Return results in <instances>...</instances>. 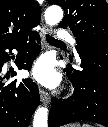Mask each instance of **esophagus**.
<instances>
[{
	"mask_svg": "<svg viewBox=\"0 0 108 127\" xmlns=\"http://www.w3.org/2000/svg\"><path fill=\"white\" fill-rule=\"evenodd\" d=\"M49 32H50L49 27H48L46 24L43 23L42 29H41V31H40V36H41L42 41H43V43H44L45 46H46V43H45V36H46ZM39 93H40V99H41V101H42L43 103H45V104L50 103V100H51V99H50V96H49V94H48L47 91H45L44 89L40 88Z\"/></svg>",
	"mask_w": 108,
	"mask_h": 127,
	"instance_id": "34e87169",
	"label": "esophagus"
}]
</instances>
